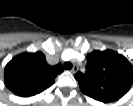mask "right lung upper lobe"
<instances>
[{"label":"right lung upper lobe","instance_id":"obj_1","mask_svg":"<svg viewBox=\"0 0 133 106\" xmlns=\"http://www.w3.org/2000/svg\"><path fill=\"white\" fill-rule=\"evenodd\" d=\"M62 72V65L50 66L42 52H26L6 65L4 82L15 95L31 97L49 88Z\"/></svg>","mask_w":133,"mask_h":106}]
</instances>
